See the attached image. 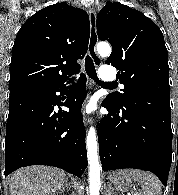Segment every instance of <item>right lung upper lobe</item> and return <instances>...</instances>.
<instances>
[{"label": "right lung upper lobe", "mask_w": 178, "mask_h": 195, "mask_svg": "<svg viewBox=\"0 0 178 195\" xmlns=\"http://www.w3.org/2000/svg\"><path fill=\"white\" fill-rule=\"evenodd\" d=\"M88 14L65 2L50 5L31 16L18 31L12 48L10 94L54 87L80 66L88 48Z\"/></svg>", "instance_id": "cb5924a9"}]
</instances>
